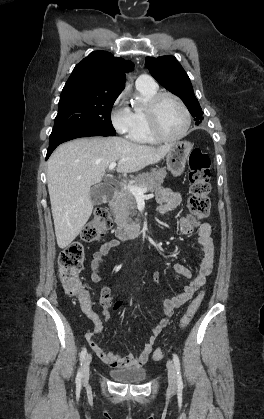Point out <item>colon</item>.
Returning <instances> with one entry per match:
<instances>
[{
    "label": "colon",
    "instance_id": "1",
    "mask_svg": "<svg viewBox=\"0 0 264 419\" xmlns=\"http://www.w3.org/2000/svg\"><path fill=\"white\" fill-rule=\"evenodd\" d=\"M190 197L188 208L194 218L207 216L210 210V159L206 153L194 149L188 159ZM112 227V220L106 210L100 209L94 213L82 232L84 241H98ZM85 258L83 245L73 242L63 249L58 258L59 276L65 292L72 296H78L81 302L90 304L79 273ZM203 293L194 298L186 313L181 319V327L185 328L193 318L201 305ZM164 356L162 349L155 350L153 359L158 361Z\"/></svg>",
    "mask_w": 264,
    "mask_h": 419
}]
</instances>
